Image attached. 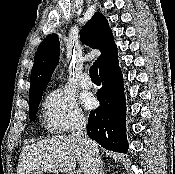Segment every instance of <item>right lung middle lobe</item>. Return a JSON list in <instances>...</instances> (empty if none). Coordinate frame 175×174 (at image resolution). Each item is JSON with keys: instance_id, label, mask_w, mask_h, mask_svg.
<instances>
[{"instance_id": "obj_1", "label": "right lung middle lobe", "mask_w": 175, "mask_h": 174, "mask_svg": "<svg viewBox=\"0 0 175 174\" xmlns=\"http://www.w3.org/2000/svg\"><path fill=\"white\" fill-rule=\"evenodd\" d=\"M40 97L38 96L32 100L29 101V117H30V121L35 120L36 118V113H37V107H38V103L40 101Z\"/></svg>"}]
</instances>
